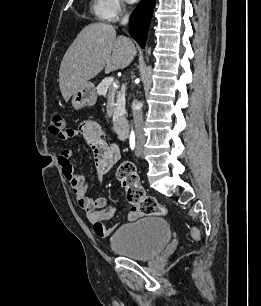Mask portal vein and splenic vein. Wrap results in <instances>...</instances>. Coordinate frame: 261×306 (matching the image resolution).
<instances>
[{
	"label": "portal vein and splenic vein",
	"mask_w": 261,
	"mask_h": 306,
	"mask_svg": "<svg viewBox=\"0 0 261 306\" xmlns=\"http://www.w3.org/2000/svg\"><path fill=\"white\" fill-rule=\"evenodd\" d=\"M113 87L118 88V83L114 82Z\"/></svg>",
	"instance_id": "18ae733b"
}]
</instances>
